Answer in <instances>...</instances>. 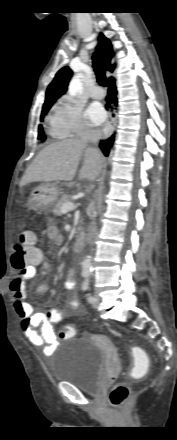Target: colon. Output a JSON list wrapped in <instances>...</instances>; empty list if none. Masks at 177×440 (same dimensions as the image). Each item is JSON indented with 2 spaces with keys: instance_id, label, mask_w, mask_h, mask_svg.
<instances>
[{
  "instance_id": "5ec220e1",
  "label": "colon",
  "mask_w": 177,
  "mask_h": 440,
  "mask_svg": "<svg viewBox=\"0 0 177 440\" xmlns=\"http://www.w3.org/2000/svg\"><path fill=\"white\" fill-rule=\"evenodd\" d=\"M35 235L32 232H22L19 234L13 246L12 265L18 270H24L33 264L39 257L38 250L33 246ZM75 331L71 325H65L59 331V337L62 340L70 339L74 336ZM133 356L135 358V366L130 370L129 375L139 377L148 369V359L145 353L133 348ZM129 395V387L125 384H119L115 387L111 394V403L114 406L121 405Z\"/></svg>"
}]
</instances>
